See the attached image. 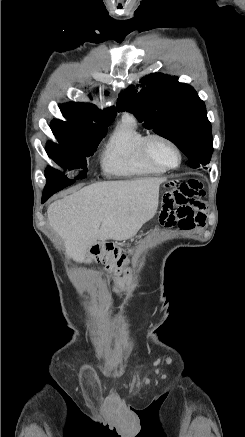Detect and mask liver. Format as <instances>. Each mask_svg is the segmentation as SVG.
I'll return each instance as SVG.
<instances>
[{"label": "liver", "instance_id": "obj_1", "mask_svg": "<svg viewBox=\"0 0 245 437\" xmlns=\"http://www.w3.org/2000/svg\"><path fill=\"white\" fill-rule=\"evenodd\" d=\"M164 181L149 177L91 184L50 204L48 222L68 255L83 262L98 240L133 238L156 214Z\"/></svg>", "mask_w": 245, "mask_h": 437}]
</instances>
